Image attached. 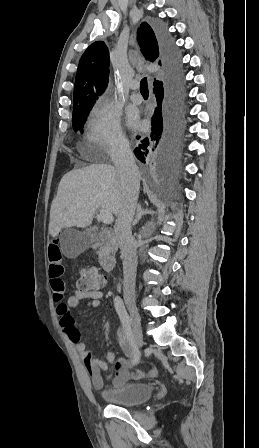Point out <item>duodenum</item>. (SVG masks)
I'll use <instances>...</instances> for the list:
<instances>
[{"label": "duodenum", "instance_id": "1", "mask_svg": "<svg viewBox=\"0 0 259 448\" xmlns=\"http://www.w3.org/2000/svg\"><path fill=\"white\" fill-rule=\"evenodd\" d=\"M93 247L99 248V264L105 272H112L115 268V258L113 254L117 250L116 239L108 234L103 233L93 244Z\"/></svg>", "mask_w": 259, "mask_h": 448}]
</instances>
